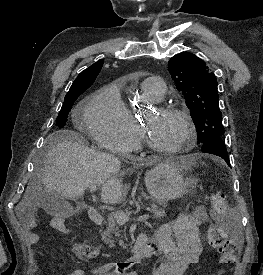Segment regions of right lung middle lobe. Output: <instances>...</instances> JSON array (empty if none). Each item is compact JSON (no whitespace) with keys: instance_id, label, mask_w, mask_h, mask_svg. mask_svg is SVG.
<instances>
[{"instance_id":"right-lung-middle-lobe-1","label":"right lung middle lobe","mask_w":263,"mask_h":275,"mask_svg":"<svg viewBox=\"0 0 263 275\" xmlns=\"http://www.w3.org/2000/svg\"><path fill=\"white\" fill-rule=\"evenodd\" d=\"M86 89L83 90H78L75 91L73 93L67 94L65 99H64V103L61 107V110L57 116L56 119V125L59 128H63L67 122V118H68V114L72 108L73 103L75 102V100L77 99V97L79 95H81Z\"/></svg>"}]
</instances>
